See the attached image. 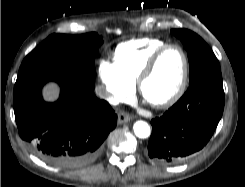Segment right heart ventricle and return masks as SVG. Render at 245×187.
I'll use <instances>...</instances> for the list:
<instances>
[{
  "mask_svg": "<svg viewBox=\"0 0 245 187\" xmlns=\"http://www.w3.org/2000/svg\"><path fill=\"white\" fill-rule=\"evenodd\" d=\"M168 43L158 38H137L120 43L113 54V62L126 80L133 85L147 60Z\"/></svg>",
  "mask_w": 245,
  "mask_h": 187,
  "instance_id": "obj_1",
  "label": "right heart ventricle"
}]
</instances>
